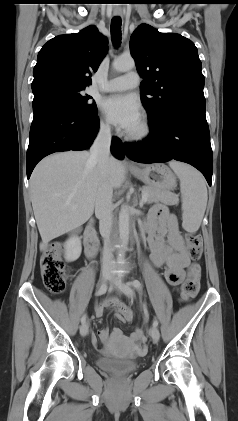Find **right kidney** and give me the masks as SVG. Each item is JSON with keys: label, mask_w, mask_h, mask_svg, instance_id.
Returning a JSON list of instances; mask_svg holds the SVG:
<instances>
[{"label": "right kidney", "mask_w": 238, "mask_h": 421, "mask_svg": "<svg viewBox=\"0 0 238 421\" xmlns=\"http://www.w3.org/2000/svg\"><path fill=\"white\" fill-rule=\"evenodd\" d=\"M82 251L81 239L78 236L70 237L65 243V260L73 262L77 260Z\"/></svg>", "instance_id": "ca27d5eb"}]
</instances>
